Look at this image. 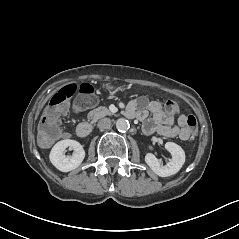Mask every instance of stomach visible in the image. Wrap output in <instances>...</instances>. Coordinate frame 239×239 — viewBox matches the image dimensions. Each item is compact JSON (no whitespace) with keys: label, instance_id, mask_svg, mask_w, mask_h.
<instances>
[{"label":"stomach","instance_id":"0dacf381","mask_svg":"<svg viewBox=\"0 0 239 239\" xmlns=\"http://www.w3.org/2000/svg\"><path fill=\"white\" fill-rule=\"evenodd\" d=\"M104 86H105V88H106L107 90H109V91L114 89V86L110 85L109 83H108V84H105ZM116 90H117V91H119V90H120V91H123L124 88H123V87H117Z\"/></svg>","mask_w":239,"mask_h":239}]
</instances>
